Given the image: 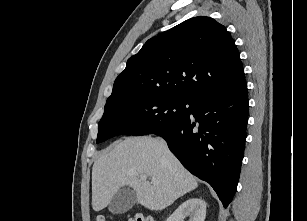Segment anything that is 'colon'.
Returning a JSON list of instances; mask_svg holds the SVG:
<instances>
[{
  "label": "colon",
  "mask_w": 307,
  "mask_h": 221,
  "mask_svg": "<svg viewBox=\"0 0 307 221\" xmlns=\"http://www.w3.org/2000/svg\"><path fill=\"white\" fill-rule=\"evenodd\" d=\"M96 221H108V219L102 215L97 216ZM128 221H151V217H145L143 215H135L128 219Z\"/></svg>",
  "instance_id": "colon-1"
}]
</instances>
